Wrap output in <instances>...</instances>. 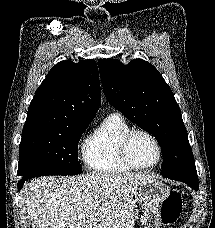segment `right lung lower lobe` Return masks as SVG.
Returning a JSON list of instances; mask_svg holds the SVG:
<instances>
[{
	"instance_id": "98d812e1",
	"label": "right lung lower lobe",
	"mask_w": 215,
	"mask_h": 228,
	"mask_svg": "<svg viewBox=\"0 0 215 228\" xmlns=\"http://www.w3.org/2000/svg\"><path fill=\"white\" fill-rule=\"evenodd\" d=\"M25 181H26V180H24V179H20V180H19V182H18V189H19V190L22 188V186H23V184H24Z\"/></svg>"
}]
</instances>
